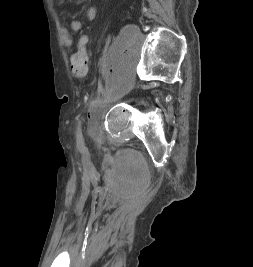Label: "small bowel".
<instances>
[{"label":"small bowel","instance_id":"small-bowel-1","mask_svg":"<svg viewBox=\"0 0 253 267\" xmlns=\"http://www.w3.org/2000/svg\"><path fill=\"white\" fill-rule=\"evenodd\" d=\"M87 1H90V0H87ZM85 14H86V17L88 20H94L97 12H96V9L92 5H88L86 7ZM70 28L74 32H77V33L81 32L83 30V23L80 20L73 19L70 22ZM61 36H62V40H63L64 44L67 47L70 48L73 46L72 36H71L69 30L65 26H61Z\"/></svg>","mask_w":253,"mask_h":267}]
</instances>
